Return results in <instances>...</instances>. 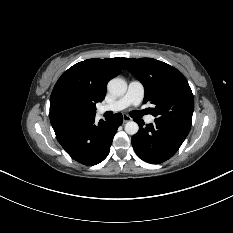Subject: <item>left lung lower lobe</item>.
Listing matches in <instances>:
<instances>
[{"label": "left lung lower lobe", "mask_w": 233, "mask_h": 233, "mask_svg": "<svg viewBox=\"0 0 233 233\" xmlns=\"http://www.w3.org/2000/svg\"><path fill=\"white\" fill-rule=\"evenodd\" d=\"M135 121L139 125V132L132 137L133 149L139 158L151 164L171 158L190 131L181 125L159 119L146 126L141 119Z\"/></svg>", "instance_id": "left-lung-lower-lobe-1"}]
</instances>
